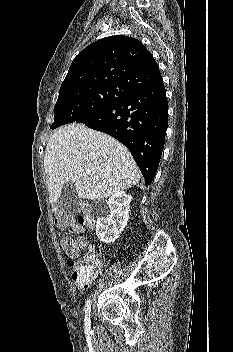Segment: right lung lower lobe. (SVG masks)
I'll return each instance as SVG.
<instances>
[{"instance_id":"1","label":"right lung lower lobe","mask_w":233,"mask_h":352,"mask_svg":"<svg viewBox=\"0 0 233 352\" xmlns=\"http://www.w3.org/2000/svg\"><path fill=\"white\" fill-rule=\"evenodd\" d=\"M79 123L123 143L140 168L145 185L151 184L168 125V102L162 78Z\"/></svg>"}]
</instances>
